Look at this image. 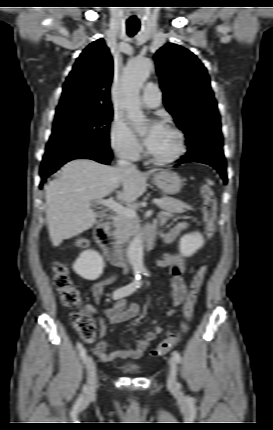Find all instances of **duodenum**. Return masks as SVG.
Instances as JSON below:
<instances>
[{
	"label": "duodenum",
	"mask_w": 273,
	"mask_h": 430,
	"mask_svg": "<svg viewBox=\"0 0 273 430\" xmlns=\"http://www.w3.org/2000/svg\"><path fill=\"white\" fill-rule=\"evenodd\" d=\"M109 219L108 216H105L99 221L95 229V238L112 264L124 266L128 260L127 254L125 249L112 238L109 231ZM153 242L154 237L149 236L146 240L147 248H151Z\"/></svg>",
	"instance_id": "duodenum-1"
}]
</instances>
